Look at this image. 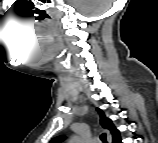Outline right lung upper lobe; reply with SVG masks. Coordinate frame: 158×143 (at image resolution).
<instances>
[{
    "label": "right lung upper lobe",
    "mask_w": 158,
    "mask_h": 143,
    "mask_svg": "<svg viewBox=\"0 0 158 143\" xmlns=\"http://www.w3.org/2000/svg\"><path fill=\"white\" fill-rule=\"evenodd\" d=\"M97 111L100 115V123L103 128L108 129L113 137V143H116L120 140V134L119 131L115 128V126L112 124V121L108 118H106L105 114L102 110L97 108ZM65 139L64 136H58L53 139V142L60 143Z\"/></svg>",
    "instance_id": "obj_1"
}]
</instances>
